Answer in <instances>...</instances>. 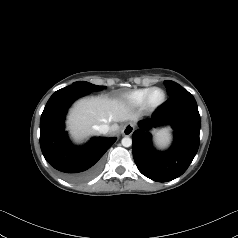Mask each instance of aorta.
Instances as JSON below:
<instances>
[{"mask_svg":"<svg viewBox=\"0 0 238 238\" xmlns=\"http://www.w3.org/2000/svg\"><path fill=\"white\" fill-rule=\"evenodd\" d=\"M121 143L124 147H130L132 145V139L130 137H124Z\"/></svg>","mask_w":238,"mask_h":238,"instance_id":"aorta-1","label":"aorta"}]
</instances>
